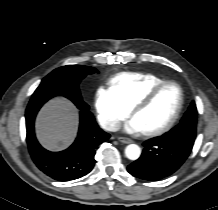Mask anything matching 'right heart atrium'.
<instances>
[{
  "mask_svg": "<svg viewBox=\"0 0 218 210\" xmlns=\"http://www.w3.org/2000/svg\"><path fill=\"white\" fill-rule=\"evenodd\" d=\"M94 106L101 125L109 131L117 130L131 112L109 88L104 87L96 91Z\"/></svg>",
  "mask_w": 218,
  "mask_h": 210,
  "instance_id": "right-heart-atrium-1",
  "label": "right heart atrium"
}]
</instances>
